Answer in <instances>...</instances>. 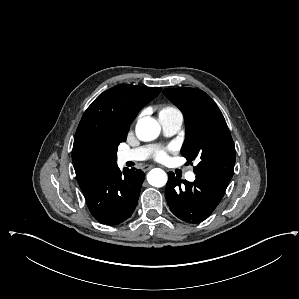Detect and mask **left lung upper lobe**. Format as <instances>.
Segmentation results:
<instances>
[{
  "mask_svg": "<svg viewBox=\"0 0 299 299\" xmlns=\"http://www.w3.org/2000/svg\"><path fill=\"white\" fill-rule=\"evenodd\" d=\"M164 95L183 113L186 137L182 155L191 162L196 175L208 177L227 187L235 165V147L226 121L216 103L202 90L170 88Z\"/></svg>",
  "mask_w": 299,
  "mask_h": 299,
  "instance_id": "1",
  "label": "left lung upper lobe"
}]
</instances>
